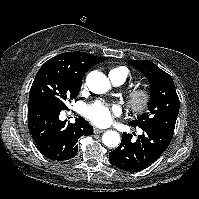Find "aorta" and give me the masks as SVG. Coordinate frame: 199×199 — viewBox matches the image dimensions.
Here are the masks:
<instances>
[{
	"mask_svg": "<svg viewBox=\"0 0 199 199\" xmlns=\"http://www.w3.org/2000/svg\"><path fill=\"white\" fill-rule=\"evenodd\" d=\"M86 84L90 91L96 94H103L110 89V81L105 74L99 71H92L87 75ZM102 141L107 147H117L120 144L118 132L109 130L102 136Z\"/></svg>",
	"mask_w": 199,
	"mask_h": 199,
	"instance_id": "aorta-1",
	"label": "aorta"
}]
</instances>
